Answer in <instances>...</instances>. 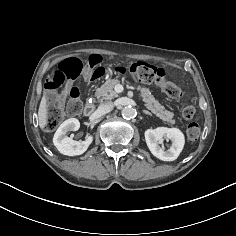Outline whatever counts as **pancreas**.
Instances as JSON below:
<instances>
[{
    "instance_id": "pancreas-1",
    "label": "pancreas",
    "mask_w": 236,
    "mask_h": 236,
    "mask_svg": "<svg viewBox=\"0 0 236 236\" xmlns=\"http://www.w3.org/2000/svg\"><path fill=\"white\" fill-rule=\"evenodd\" d=\"M120 81L118 79H108L101 87L96 89L95 96L102 102L103 100H111L118 97V93L115 92L114 87L118 85ZM137 90L140 91L145 106L153 114L159 117L161 120L175 124L174 114L164 109V107L154 98L150 90L146 87L137 86Z\"/></svg>"
}]
</instances>
